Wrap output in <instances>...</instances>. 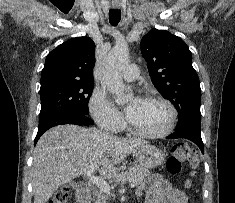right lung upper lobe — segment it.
I'll list each match as a JSON object with an SVG mask.
<instances>
[{"label": "right lung upper lobe", "mask_w": 235, "mask_h": 203, "mask_svg": "<svg viewBox=\"0 0 235 203\" xmlns=\"http://www.w3.org/2000/svg\"><path fill=\"white\" fill-rule=\"evenodd\" d=\"M95 43L88 37L68 40L46 57L41 86L59 81H93Z\"/></svg>", "instance_id": "1"}]
</instances>
